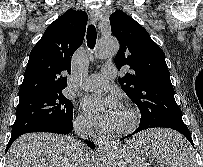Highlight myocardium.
Wrapping results in <instances>:
<instances>
[{
	"label": "myocardium",
	"mask_w": 203,
	"mask_h": 167,
	"mask_svg": "<svg viewBox=\"0 0 203 167\" xmlns=\"http://www.w3.org/2000/svg\"><path fill=\"white\" fill-rule=\"evenodd\" d=\"M125 113L128 118L127 124L122 128L113 130V133L120 135V136L128 135L131 132H133L135 130V128L137 127L138 121H139L138 114L134 110L128 109L125 111Z\"/></svg>",
	"instance_id": "f54148a6"
}]
</instances>
